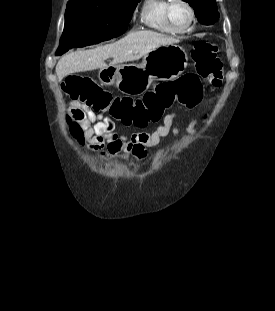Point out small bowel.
I'll return each mask as SVG.
<instances>
[{
	"label": "small bowel",
	"instance_id": "1",
	"mask_svg": "<svg viewBox=\"0 0 275 311\" xmlns=\"http://www.w3.org/2000/svg\"><path fill=\"white\" fill-rule=\"evenodd\" d=\"M222 75L209 79L210 86L216 88L221 84ZM68 110L84 129V135L88 140V151L94 152L99 161H111L119 159L123 155L133 154L138 159L147 156L146 149L158 146L162 139L172 135L180 136V129L175 124L179 120L176 112L164 116L162 124L152 132H137L130 136L115 131V124L109 118L95 114L89 106L70 102ZM208 117V114H205ZM196 120H192L187 127V133H195Z\"/></svg>",
	"mask_w": 275,
	"mask_h": 311
}]
</instances>
